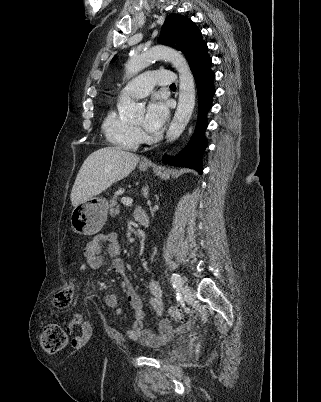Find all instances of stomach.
I'll use <instances>...</instances> for the list:
<instances>
[{
    "label": "stomach",
    "instance_id": "0dacf381",
    "mask_svg": "<svg viewBox=\"0 0 321 402\" xmlns=\"http://www.w3.org/2000/svg\"><path fill=\"white\" fill-rule=\"evenodd\" d=\"M139 169L146 171L147 166L140 165ZM107 214V200L102 197L93 196L73 209L70 217L71 227L78 234L94 235L104 226Z\"/></svg>",
    "mask_w": 321,
    "mask_h": 402
}]
</instances>
